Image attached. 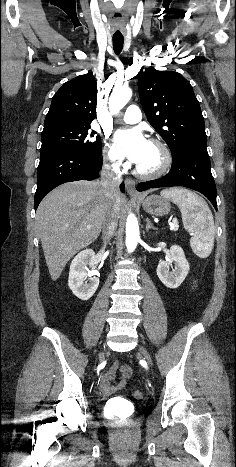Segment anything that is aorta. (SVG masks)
I'll list each match as a JSON object with an SVG mask.
<instances>
[{
	"mask_svg": "<svg viewBox=\"0 0 236 467\" xmlns=\"http://www.w3.org/2000/svg\"><path fill=\"white\" fill-rule=\"evenodd\" d=\"M132 90L128 87L115 88L109 98V109L112 114L118 113L131 99ZM140 240L137 218L130 213L126 221V247L133 252Z\"/></svg>",
	"mask_w": 236,
	"mask_h": 467,
	"instance_id": "1",
	"label": "aorta"
}]
</instances>
